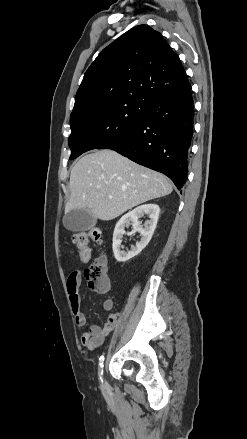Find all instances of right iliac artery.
Listing matches in <instances>:
<instances>
[{"mask_svg":"<svg viewBox=\"0 0 247 439\" xmlns=\"http://www.w3.org/2000/svg\"><path fill=\"white\" fill-rule=\"evenodd\" d=\"M103 363H104V356H101L99 358V369H98V374H99V379L102 381V374H103Z\"/></svg>","mask_w":247,"mask_h":439,"instance_id":"82829eb1","label":"right iliac artery"}]
</instances>
